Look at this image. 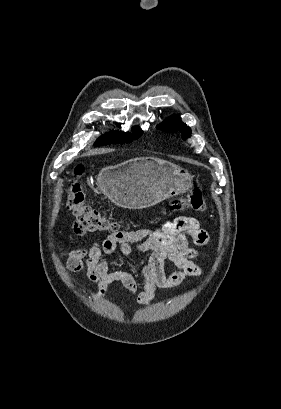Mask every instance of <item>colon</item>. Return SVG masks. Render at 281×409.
I'll list each match as a JSON object with an SVG mask.
<instances>
[{"mask_svg":"<svg viewBox=\"0 0 281 409\" xmlns=\"http://www.w3.org/2000/svg\"><path fill=\"white\" fill-rule=\"evenodd\" d=\"M84 173V165H76L73 169L72 180L67 187L68 199L66 207L75 217L76 232H81L83 228L98 234H115L122 232L124 227L121 223L115 220L111 215L92 208L86 203L85 193L79 181ZM184 207L196 212H204L206 210V204L199 189L193 187L185 201H176L171 204V208L174 210H180Z\"/></svg>","mask_w":281,"mask_h":409,"instance_id":"obj_1","label":"colon"}]
</instances>
